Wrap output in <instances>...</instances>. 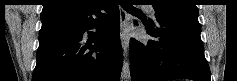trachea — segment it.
<instances>
[{
    "label": "trachea",
    "mask_w": 237,
    "mask_h": 81,
    "mask_svg": "<svg viewBox=\"0 0 237 81\" xmlns=\"http://www.w3.org/2000/svg\"><path fill=\"white\" fill-rule=\"evenodd\" d=\"M121 5H122V7H123L124 9H126V10L139 11V9L133 7L131 4H125V3H123V4H121Z\"/></svg>",
    "instance_id": "obj_1"
}]
</instances>
